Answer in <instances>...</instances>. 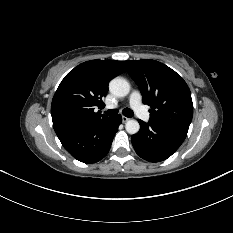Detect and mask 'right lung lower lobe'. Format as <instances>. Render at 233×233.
<instances>
[{"mask_svg":"<svg viewBox=\"0 0 233 233\" xmlns=\"http://www.w3.org/2000/svg\"><path fill=\"white\" fill-rule=\"evenodd\" d=\"M122 122L121 115L91 120L57 134L64 148L77 160L95 163L103 159Z\"/></svg>","mask_w":233,"mask_h":233,"instance_id":"obj_1","label":"right lung lower lobe"}]
</instances>
